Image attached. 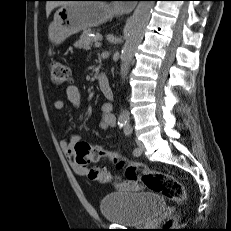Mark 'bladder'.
<instances>
[{"label":"bladder","instance_id":"bladder-1","mask_svg":"<svg viewBox=\"0 0 231 231\" xmlns=\"http://www.w3.org/2000/svg\"><path fill=\"white\" fill-rule=\"evenodd\" d=\"M166 207L165 200L151 192H113L99 202L106 221L124 226H142L154 221Z\"/></svg>","mask_w":231,"mask_h":231}]
</instances>
